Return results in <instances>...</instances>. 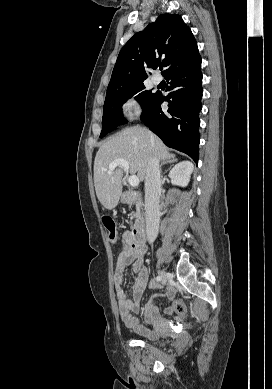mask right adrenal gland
<instances>
[{
	"mask_svg": "<svg viewBox=\"0 0 272 389\" xmlns=\"http://www.w3.org/2000/svg\"><path fill=\"white\" fill-rule=\"evenodd\" d=\"M175 161H177L175 158H173L172 160H169V161H163L162 164L160 165V167H162L163 165H166L168 163L175 162Z\"/></svg>",
	"mask_w": 272,
	"mask_h": 389,
	"instance_id": "right-adrenal-gland-1",
	"label": "right adrenal gland"
}]
</instances>
